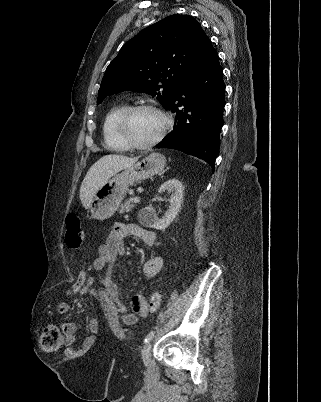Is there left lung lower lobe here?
<instances>
[{"label": "left lung lower lobe", "instance_id": "obj_1", "mask_svg": "<svg viewBox=\"0 0 321 402\" xmlns=\"http://www.w3.org/2000/svg\"><path fill=\"white\" fill-rule=\"evenodd\" d=\"M224 94L223 70L209 40L174 91L167 109L174 112L176 122L156 148L183 151L203 159L214 170L223 125Z\"/></svg>", "mask_w": 321, "mask_h": 402}]
</instances>
